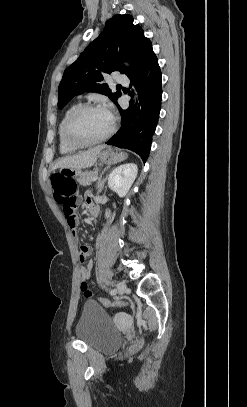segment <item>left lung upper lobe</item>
<instances>
[{"label":"left lung upper lobe","instance_id":"left-lung-upper-lobe-1","mask_svg":"<svg viewBox=\"0 0 247 407\" xmlns=\"http://www.w3.org/2000/svg\"><path fill=\"white\" fill-rule=\"evenodd\" d=\"M152 51L151 41L131 15H115L106 22L103 32L81 53L64 72L58 89V107L62 109L74 96L84 92H99L117 104L120 92L111 93L107 84H99L103 74L120 71L127 76L135 71ZM130 60L126 67L121 60Z\"/></svg>","mask_w":247,"mask_h":407}]
</instances>
